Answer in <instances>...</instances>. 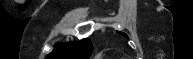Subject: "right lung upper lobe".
Here are the masks:
<instances>
[{
	"instance_id": "1",
	"label": "right lung upper lobe",
	"mask_w": 193,
	"mask_h": 59,
	"mask_svg": "<svg viewBox=\"0 0 193 59\" xmlns=\"http://www.w3.org/2000/svg\"><path fill=\"white\" fill-rule=\"evenodd\" d=\"M91 53V40L83 39L80 42L58 44L47 59H88Z\"/></svg>"
}]
</instances>
